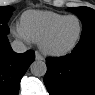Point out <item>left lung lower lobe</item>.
Returning <instances> with one entry per match:
<instances>
[{"instance_id":"1","label":"left lung lower lobe","mask_w":95,"mask_h":95,"mask_svg":"<svg viewBox=\"0 0 95 95\" xmlns=\"http://www.w3.org/2000/svg\"><path fill=\"white\" fill-rule=\"evenodd\" d=\"M44 83L50 95H95V34L80 39L71 54L48 58Z\"/></svg>"}]
</instances>
